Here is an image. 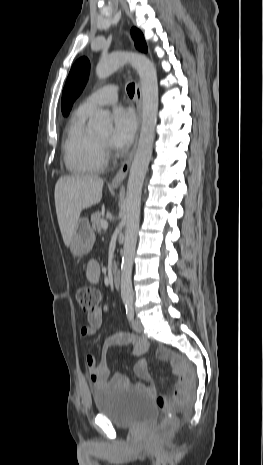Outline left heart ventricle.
<instances>
[{
  "label": "left heart ventricle",
  "mask_w": 263,
  "mask_h": 465,
  "mask_svg": "<svg viewBox=\"0 0 263 465\" xmlns=\"http://www.w3.org/2000/svg\"><path fill=\"white\" fill-rule=\"evenodd\" d=\"M108 138H109V135H108V134H104V135H102V136L99 137V139L102 140V141H107Z\"/></svg>",
  "instance_id": "left-heart-ventricle-1"
}]
</instances>
